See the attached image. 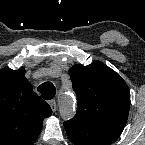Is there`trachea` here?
Returning a JSON list of instances; mask_svg holds the SVG:
<instances>
[{"label":"trachea","instance_id":"1","mask_svg":"<svg viewBox=\"0 0 145 145\" xmlns=\"http://www.w3.org/2000/svg\"><path fill=\"white\" fill-rule=\"evenodd\" d=\"M41 97L50 100L55 96L56 88L51 82H45L38 87Z\"/></svg>","mask_w":145,"mask_h":145}]
</instances>
